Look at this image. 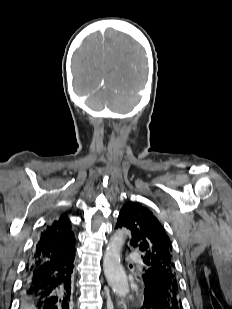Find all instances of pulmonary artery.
Instances as JSON below:
<instances>
[{"instance_id": "1", "label": "pulmonary artery", "mask_w": 232, "mask_h": 309, "mask_svg": "<svg viewBox=\"0 0 232 309\" xmlns=\"http://www.w3.org/2000/svg\"><path fill=\"white\" fill-rule=\"evenodd\" d=\"M131 257H132L133 259H135V260H139V256H138V254L135 253V252L131 254Z\"/></svg>"}]
</instances>
